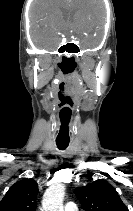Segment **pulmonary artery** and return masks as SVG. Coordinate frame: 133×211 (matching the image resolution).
Returning a JSON list of instances; mask_svg holds the SVG:
<instances>
[{"instance_id": "e3ab8cb5", "label": "pulmonary artery", "mask_w": 133, "mask_h": 211, "mask_svg": "<svg viewBox=\"0 0 133 211\" xmlns=\"http://www.w3.org/2000/svg\"><path fill=\"white\" fill-rule=\"evenodd\" d=\"M64 211H78V209L73 202H68L64 206Z\"/></svg>"}]
</instances>
